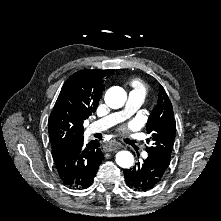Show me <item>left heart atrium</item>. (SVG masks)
I'll return each instance as SVG.
<instances>
[{"label": "left heart atrium", "instance_id": "left-heart-atrium-1", "mask_svg": "<svg viewBox=\"0 0 221 221\" xmlns=\"http://www.w3.org/2000/svg\"><path fill=\"white\" fill-rule=\"evenodd\" d=\"M135 128V123L132 122L128 125V127L121 129L122 132H125L126 129H134Z\"/></svg>", "mask_w": 221, "mask_h": 221}]
</instances>
